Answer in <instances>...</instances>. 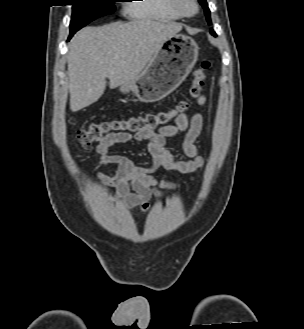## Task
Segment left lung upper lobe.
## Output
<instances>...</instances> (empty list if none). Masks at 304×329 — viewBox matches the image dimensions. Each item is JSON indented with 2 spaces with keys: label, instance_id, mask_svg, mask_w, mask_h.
Here are the masks:
<instances>
[{
  "label": "left lung upper lobe",
  "instance_id": "5c2ea615",
  "mask_svg": "<svg viewBox=\"0 0 304 329\" xmlns=\"http://www.w3.org/2000/svg\"><path fill=\"white\" fill-rule=\"evenodd\" d=\"M200 2V4L203 6L204 10H205V15L207 18V21L209 24H211V18H210V10L208 8V4L206 2V0H198ZM213 30H211L212 32Z\"/></svg>",
  "mask_w": 304,
  "mask_h": 329
}]
</instances>
